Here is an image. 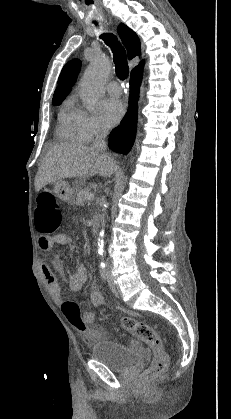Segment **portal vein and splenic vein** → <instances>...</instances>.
I'll return each instance as SVG.
<instances>
[{
  "label": "portal vein and splenic vein",
  "mask_w": 231,
  "mask_h": 419,
  "mask_svg": "<svg viewBox=\"0 0 231 419\" xmlns=\"http://www.w3.org/2000/svg\"><path fill=\"white\" fill-rule=\"evenodd\" d=\"M86 200L91 201L94 199V194L93 193H86L85 195Z\"/></svg>",
  "instance_id": "portal-vein-and-splenic-vein-1"
}]
</instances>
